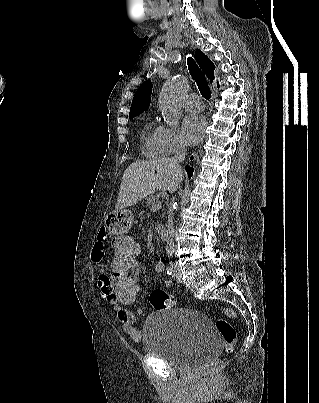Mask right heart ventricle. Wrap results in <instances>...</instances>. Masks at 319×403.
I'll use <instances>...</instances> for the list:
<instances>
[{
	"label": "right heart ventricle",
	"instance_id": "e07e8e85",
	"mask_svg": "<svg viewBox=\"0 0 319 403\" xmlns=\"http://www.w3.org/2000/svg\"><path fill=\"white\" fill-rule=\"evenodd\" d=\"M142 152L148 158H157L163 154L159 126L152 123H147L144 126Z\"/></svg>",
	"mask_w": 319,
	"mask_h": 403
}]
</instances>
